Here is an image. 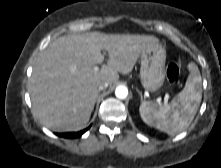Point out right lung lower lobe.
<instances>
[{
	"label": "right lung lower lobe",
	"instance_id": "1",
	"mask_svg": "<svg viewBox=\"0 0 221 168\" xmlns=\"http://www.w3.org/2000/svg\"><path fill=\"white\" fill-rule=\"evenodd\" d=\"M88 130L87 129H84L80 132H73V133H60L58 134L59 136L61 137H64V138H76V137H80L84 132H86Z\"/></svg>",
	"mask_w": 221,
	"mask_h": 168
}]
</instances>
